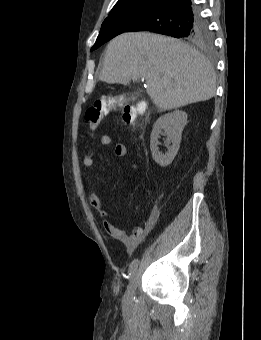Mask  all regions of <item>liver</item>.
Listing matches in <instances>:
<instances>
[{"label": "liver", "instance_id": "liver-1", "mask_svg": "<svg viewBox=\"0 0 261 340\" xmlns=\"http://www.w3.org/2000/svg\"><path fill=\"white\" fill-rule=\"evenodd\" d=\"M140 77L161 111L209 100L216 91L215 71L196 49L149 32L118 35L106 48L100 80L126 85Z\"/></svg>", "mask_w": 261, "mask_h": 340}]
</instances>
